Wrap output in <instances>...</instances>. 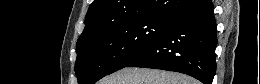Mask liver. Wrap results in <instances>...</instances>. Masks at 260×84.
<instances>
[{
	"mask_svg": "<svg viewBox=\"0 0 260 84\" xmlns=\"http://www.w3.org/2000/svg\"><path fill=\"white\" fill-rule=\"evenodd\" d=\"M99 84H198V81L176 72L124 68L105 77Z\"/></svg>",
	"mask_w": 260,
	"mask_h": 84,
	"instance_id": "obj_1",
	"label": "liver"
}]
</instances>
